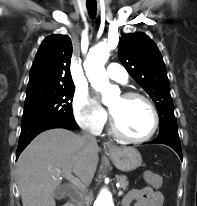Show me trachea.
<instances>
[{
	"label": "trachea",
	"mask_w": 197,
	"mask_h": 206,
	"mask_svg": "<svg viewBox=\"0 0 197 206\" xmlns=\"http://www.w3.org/2000/svg\"><path fill=\"white\" fill-rule=\"evenodd\" d=\"M86 6L90 16L94 17L97 10V2L87 0Z\"/></svg>",
	"instance_id": "3493384b"
}]
</instances>
